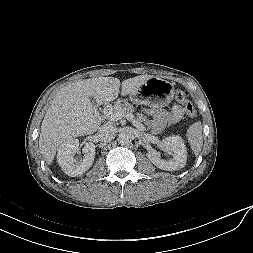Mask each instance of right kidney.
Masks as SVG:
<instances>
[{
    "mask_svg": "<svg viewBox=\"0 0 253 253\" xmlns=\"http://www.w3.org/2000/svg\"><path fill=\"white\" fill-rule=\"evenodd\" d=\"M79 152V140L71 138L58 148L57 162L65 174L76 177L86 172L93 164L95 158V145L86 143L83 152V160L76 161L74 156Z\"/></svg>",
    "mask_w": 253,
    "mask_h": 253,
    "instance_id": "1",
    "label": "right kidney"
}]
</instances>
